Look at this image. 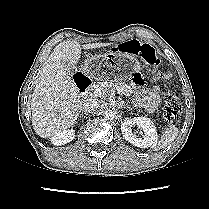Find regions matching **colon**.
Returning <instances> with one entry per match:
<instances>
[{
  "label": "colon",
  "mask_w": 209,
  "mask_h": 209,
  "mask_svg": "<svg viewBox=\"0 0 209 209\" xmlns=\"http://www.w3.org/2000/svg\"><path fill=\"white\" fill-rule=\"evenodd\" d=\"M118 50L126 54L138 55L149 65L157 66L159 64L156 50L149 43L131 40L120 45ZM181 108L179 98L175 95L168 94L163 106V118L165 122L168 124L175 123L179 119Z\"/></svg>",
  "instance_id": "5ec220e1"
}]
</instances>
